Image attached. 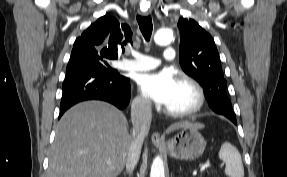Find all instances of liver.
I'll return each mask as SVG.
<instances>
[{"instance_id": "obj_1", "label": "liver", "mask_w": 287, "mask_h": 177, "mask_svg": "<svg viewBox=\"0 0 287 177\" xmlns=\"http://www.w3.org/2000/svg\"><path fill=\"white\" fill-rule=\"evenodd\" d=\"M186 126L204 128L203 124L185 121L171 125L168 132ZM55 133L47 177H117L132 143L125 115L101 101L82 102L70 108Z\"/></svg>"}]
</instances>
